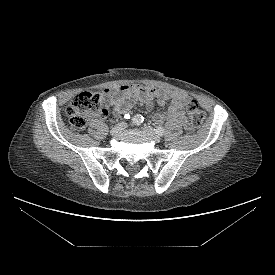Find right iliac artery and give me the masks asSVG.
Masks as SVG:
<instances>
[{
    "label": "right iliac artery",
    "instance_id": "82829eb1",
    "mask_svg": "<svg viewBox=\"0 0 275 275\" xmlns=\"http://www.w3.org/2000/svg\"><path fill=\"white\" fill-rule=\"evenodd\" d=\"M144 118L142 115L137 114L133 117L132 122L135 125H140L143 122Z\"/></svg>",
    "mask_w": 275,
    "mask_h": 275
}]
</instances>
